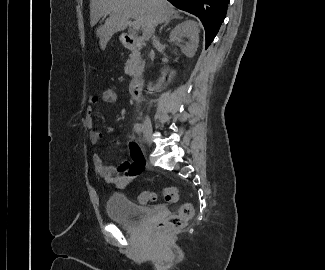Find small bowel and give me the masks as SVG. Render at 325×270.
<instances>
[{
  "instance_id": "1",
  "label": "small bowel",
  "mask_w": 325,
  "mask_h": 270,
  "mask_svg": "<svg viewBox=\"0 0 325 270\" xmlns=\"http://www.w3.org/2000/svg\"><path fill=\"white\" fill-rule=\"evenodd\" d=\"M99 100H101L100 97L96 95L90 96L89 107L86 111L85 123L92 143H98L103 136L102 132L94 126V110L92 106L98 103ZM129 155L131 160H123L118 165L106 164L98 153H94L92 159L99 176L106 183L112 184L117 189H122L131 184L144 169V163L139 159V152L134 144L129 146Z\"/></svg>"
}]
</instances>
